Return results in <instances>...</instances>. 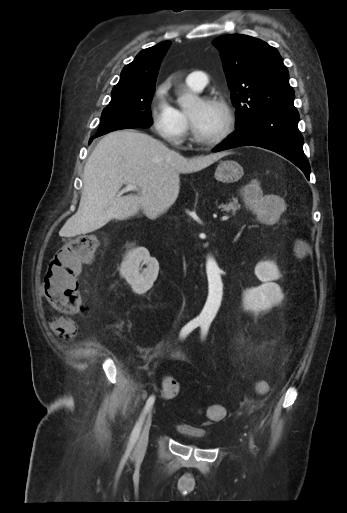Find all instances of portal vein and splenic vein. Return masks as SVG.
<instances>
[{
    "mask_svg": "<svg viewBox=\"0 0 347 513\" xmlns=\"http://www.w3.org/2000/svg\"><path fill=\"white\" fill-rule=\"evenodd\" d=\"M129 190H137V187L133 184H126V187L123 189V191H129ZM229 219V216H223L221 218L222 221H227Z\"/></svg>",
    "mask_w": 347,
    "mask_h": 513,
    "instance_id": "obj_1",
    "label": "portal vein and splenic vein"
}]
</instances>
